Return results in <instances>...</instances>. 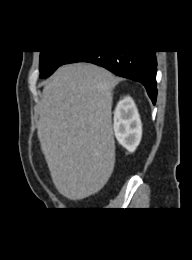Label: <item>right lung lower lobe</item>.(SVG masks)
<instances>
[{"label":"right lung lower lobe","mask_w":192,"mask_h":260,"mask_svg":"<svg viewBox=\"0 0 192 260\" xmlns=\"http://www.w3.org/2000/svg\"><path fill=\"white\" fill-rule=\"evenodd\" d=\"M89 62L102 66L114 74L142 83L156 102V55L152 50L140 51H80L71 52L63 64Z\"/></svg>","instance_id":"98d812e1"}]
</instances>
